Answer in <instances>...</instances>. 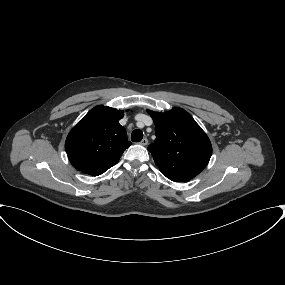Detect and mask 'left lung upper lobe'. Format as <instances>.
<instances>
[{
    "mask_svg": "<svg viewBox=\"0 0 285 285\" xmlns=\"http://www.w3.org/2000/svg\"><path fill=\"white\" fill-rule=\"evenodd\" d=\"M154 120L156 139L148 146L160 171L167 176L192 179L208 164L212 146L193 117L181 108L159 113Z\"/></svg>",
    "mask_w": 285,
    "mask_h": 285,
    "instance_id": "obj_1",
    "label": "left lung upper lobe"
}]
</instances>
